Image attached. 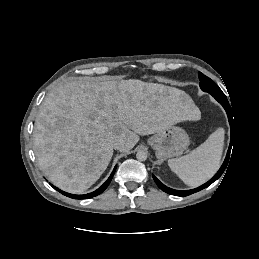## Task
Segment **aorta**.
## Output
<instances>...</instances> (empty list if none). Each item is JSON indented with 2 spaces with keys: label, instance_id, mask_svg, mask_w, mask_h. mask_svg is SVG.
I'll use <instances>...</instances> for the list:
<instances>
[{
  "label": "aorta",
  "instance_id": "aorta-1",
  "mask_svg": "<svg viewBox=\"0 0 259 259\" xmlns=\"http://www.w3.org/2000/svg\"><path fill=\"white\" fill-rule=\"evenodd\" d=\"M136 158L139 161H145L147 159V153L145 151L139 150L136 154Z\"/></svg>",
  "mask_w": 259,
  "mask_h": 259
}]
</instances>
